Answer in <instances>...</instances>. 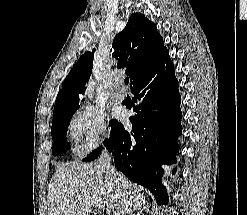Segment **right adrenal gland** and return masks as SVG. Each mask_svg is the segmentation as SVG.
I'll use <instances>...</instances> for the list:
<instances>
[{"mask_svg":"<svg viewBox=\"0 0 247 215\" xmlns=\"http://www.w3.org/2000/svg\"><path fill=\"white\" fill-rule=\"evenodd\" d=\"M148 211L147 206H143L142 209H137V210H133L130 215H140L142 213V211Z\"/></svg>","mask_w":247,"mask_h":215,"instance_id":"2a0ac1e0","label":"right adrenal gland"}]
</instances>
